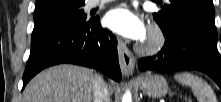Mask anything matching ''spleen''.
<instances>
[{
	"label": "spleen",
	"instance_id": "3e777b00",
	"mask_svg": "<svg viewBox=\"0 0 221 102\" xmlns=\"http://www.w3.org/2000/svg\"><path fill=\"white\" fill-rule=\"evenodd\" d=\"M174 78L180 84L191 87L198 102H217L212 88L202 78L188 72L177 73Z\"/></svg>",
	"mask_w": 221,
	"mask_h": 102
}]
</instances>
